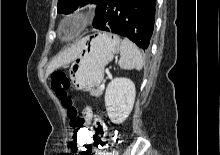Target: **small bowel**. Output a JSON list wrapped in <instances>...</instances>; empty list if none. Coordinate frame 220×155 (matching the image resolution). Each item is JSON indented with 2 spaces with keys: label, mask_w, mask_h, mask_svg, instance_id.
Wrapping results in <instances>:
<instances>
[{
  "label": "small bowel",
  "mask_w": 220,
  "mask_h": 155,
  "mask_svg": "<svg viewBox=\"0 0 220 155\" xmlns=\"http://www.w3.org/2000/svg\"><path fill=\"white\" fill-rule=\"evenodd\" d=\"M84 119L87 120V123H90V129H92L94 137H95V134H96V127L99 124L105 125V123L102 120L96 118V114H94L93 111L90 108H87L84 111ZM91 145L92 144H89V147ZM89 147H86L87 151L89 150Z\"/></svg>",
  "instance_id": "small-bowel-1"
}]
</instances>
